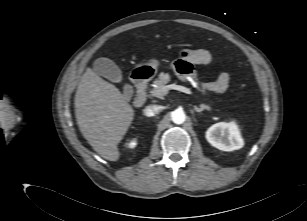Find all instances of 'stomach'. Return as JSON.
<instances>
[{"label":"stomach","mask_w":307,"mask_h":221,"mask_svg":"<svg viewBox=\"0 0 307 221\" xmlns=\"http://www.w3.org/2000/svg\"><path fill=\"white\" fill-rule=\"evenodd\" d=\"M141 66L150 70L151 72L150 75H153L158 69L159 62L157 60H152L151 62L141 65Z\"/></svg>","instance_id":"0dacf381"}]
</instances>
